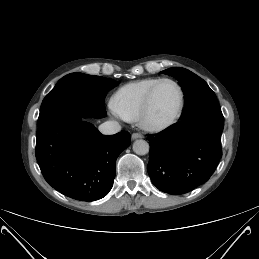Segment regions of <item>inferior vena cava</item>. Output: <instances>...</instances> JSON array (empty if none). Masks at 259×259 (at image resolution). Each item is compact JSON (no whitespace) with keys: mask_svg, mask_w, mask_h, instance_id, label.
Returning a JSON list of instances; mask_svg holds the SVG:
<instances>
[{"mask_svg":"<svg viewBox=\"0 0 259 259\" xmlns=\"http://www.w3.org/2000/svg\"><path fill=\"white\" fill-rule=\"evenodd\" d=\"M98 129L102 134L111 135L120 132L121 126L117 121H106Z\"/></svg>","mask_w":259,"mask_h":259,"instance_id":"inferior-vena-cava-1","label":"inferior vena cava"}]
</instances>
